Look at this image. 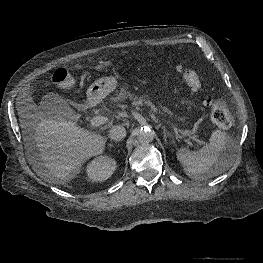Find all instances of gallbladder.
Here are the masks:
<instances>
[{
  "instance_id": "1",
  "label": "gallbladder",
  "mask_w": 263,
  "mask_h": 263,
  "mask_svg": "<svg viewBox=\"0 0 263 263\" xmlns=\"http://www.w3.org/2000/svg\"><path fill=\"white\" fill-rule=\"evenodd\" d=\"M40 110L48 118L56 121H69L75 116L70 102L55 93H48L42 97Z\"/></svg>"
}]
</instances>
